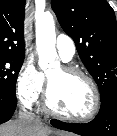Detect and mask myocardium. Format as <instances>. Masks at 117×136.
<instances>
[{
  "mask_svg": "<svg viewBox=\"0 0 117 136\" xmlns=\"http://www.w3.org/2000/svg\"><path fill=\"white\" fill-rule=\"evenodd\" d=\"M62 71L66 75H69V76L82 77L88 83V85L93 93L92 109L88 114L81 116V117L69 116V115L63 114L62 112L56 110L52 106L51 101H50V81L48 79L46 93H45V108H46V110L50 114H52L60 119L69 121V122L83 123V122H88V121L92 120L98 114V112L100 110V106H101V96H100V92H99V89H98L95 81L87 72H85L82 69H80L79 67H76L73 65L62 66Z\"/></svg>",
  "mask_w": 117,
  "mask_h": 136,
  "instance_id": "1",
  "label": "myocardium"
}]
</instances>
